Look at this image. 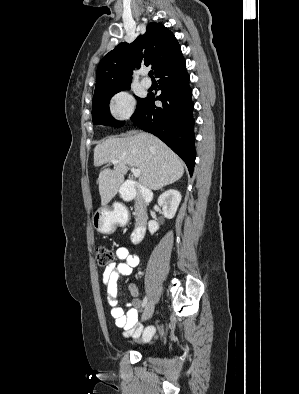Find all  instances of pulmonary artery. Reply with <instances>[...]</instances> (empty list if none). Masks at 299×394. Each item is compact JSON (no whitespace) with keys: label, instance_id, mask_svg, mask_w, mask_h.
<instances>
[{"label":"pulmonary artery","instance_id":"obj_1","mask_svg":"<svg viewBox=\"0 0 299 394\" xmlns=\"http://www.w3.org/2000/svg\"><path fill=\"white\" fill-rule=\"evenodd\" d=\"M142 85H143L145 88H150L151 85H152V82H151V80H150L149 78H144V79L142 80Z\"/></svg>","mask_w":299,"mask_h":394}]
</instances>
